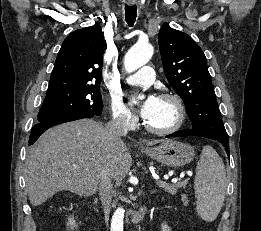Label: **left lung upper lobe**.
I'll return each mask as SVG.
<instances>
[{
    "instance_id": "1",
    "label": "left lung upper lobe",
    "mask_w": 261,
    "mask_h": 231,
    "mask_svg": "<svg viewBox=\"0 0 261 231\" xmlns=\"http://www.w3.org/2000/svg\"><path fill=\"white\" fill-rule=\"evenodd\" d=\"M158 41L165 75L185 103L193 129L209 138L228 139L201 48L168 24L161 27Z\"/></svg>"
}]
</instances>
